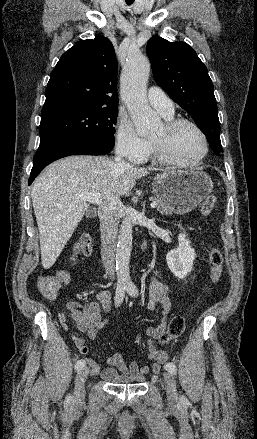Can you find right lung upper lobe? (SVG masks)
Returning a JSON list of instances; mask_svg holds the SVG:
<instances>
[{"label": "right lung upper lobe", "instance_id": "cb5924a9", "mask_svg": "<svg viewBox=\"0 0 257 439\" xmlns=\"http://www.w3.org/2000/svg\"><path fill=\"white\" fill-rule=\"evenodd\" d=\"M90 107H118L114 47L100 36L76 43L61 56L50 75L41 117Z\"/></svg>", "mask_w": 257, "mask_h": 439}]
</instances>
